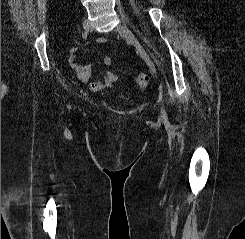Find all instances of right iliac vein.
Here are the masks:
<instances>
[{"mask_svg": "<svg viewBox=\"0 0 245 239\" xmlns=\"http://www.w3.org/2000/svg\"><path fill=\"white\" fill-rule=\"evenodd\" d=\"M83 28L87 31V30H90L91 29V23L88 19H85L83 21Z\"/></svg>", "mask_w": 245, "mask_h": 239, "instance_id": "right-iliac-vein-1", "label": "right iliac vein"}]
</instances>
